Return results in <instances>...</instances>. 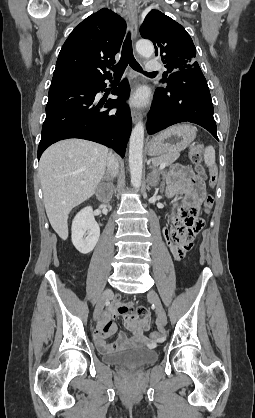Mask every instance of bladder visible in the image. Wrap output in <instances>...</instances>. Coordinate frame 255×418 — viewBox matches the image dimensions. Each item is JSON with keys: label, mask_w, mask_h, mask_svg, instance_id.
I'll return each instance as SVG.
<instances>
[{"label": "bladder", "mask_w": 255, "mask_h": 418, "mask_svg": "<svg viewBox=\"0 0 255 418\" xmlns=\"http://www.w3.org/2000/svg\"><path fill=\"white\" fill-rule=\"evenodd\" d=\"M104 361L112 365L143 366L155 362L158 352L143 346H135L129 349L106 354Z\"/></svg>", "instance_id": "bladder-1"}]
</instances>
